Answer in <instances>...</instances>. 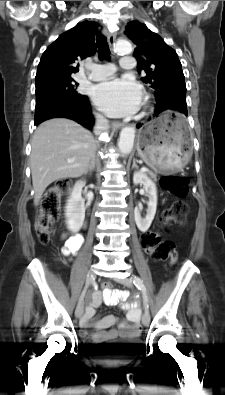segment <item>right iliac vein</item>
Instances as JSON below:
<instances>
[{
  "label": "right iliac vein",
  "mask_w": 225,
  "mask_h": 395,
  "mask_svg": "<svg viewBox=\"0 0 225 395\" xmlns=\"http://www.w3.org/2000/svg\"><path fill=\"white\" fill-rule=\"evenodd\" d=\"M94 277H95L94 270H92V269L89 270L88 273H87V277H86V285L87 286H89L93 282ZM83 311H84V305H83V302L81 300L79 302V304L77 305L76 310H75L76 318H80L82 316V314H83Z\"/></svg>",
  "instance_id": "right-iliac-vein-1"
}]
</instances>
